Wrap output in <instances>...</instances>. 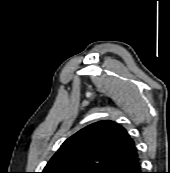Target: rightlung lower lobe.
Segmentation results:
<instances>
[{
  "label": "right lung lower lobe",
  "mask_w": 170,
  "mask_h": 173,
  "mask_svg": "<svg viewBox=\"0 0 170 173\" xmlns=\"http://www.w3.org/2000/svg\"><path fill=\"white\" fill-rule=\"evenodd\" d=\"M103 173H143L140 167V161L138 155L131 157L127 160L119 162L105 171Z\"/></svg>",
  "instance_id": "98d812e1"
}]
</instances>
